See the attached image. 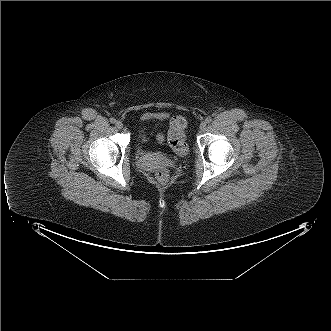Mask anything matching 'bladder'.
Masks as SVG:
<instances>
[{"label": "bladder", "mask_w": 331, "mask_h": 331, "mask_svg": "<svg viewBox=\"0 0 331 331\" xmlns=\"http://www.w3.org/2000/svg\"><path fill=\"white\" fill-rule=\"evenodd\" d=\"M145 128L141 127L138 131L137 138H136V153L140 158H147V159H160L165 156V153L161 150H148L143 146L142 141L144 140L145 136ZM187 153L186 151L181 154V156H184Z\"/></svg>", "instance_id": "31cf9c89"}]
</instances>
